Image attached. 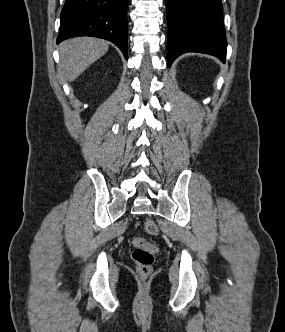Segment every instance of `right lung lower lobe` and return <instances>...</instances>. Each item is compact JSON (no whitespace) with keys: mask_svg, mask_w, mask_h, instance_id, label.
Listing matches in <instances>:
<instances>
[{"mask_svg":"<svg viewBox=\"0 0 285 332\" xmlns=\"http://www.w3.org/2000/svg\"><path fill=\"white\" fill-rule=\"evenodd\" d=\"M128 0H66L57 44L76 36H93L116 44L127 58Z\"/></svg>","mask_w":285,"mask_h":332,"instance_id":"obj_1","label":"right lung lower lobe"}]
</instances>
